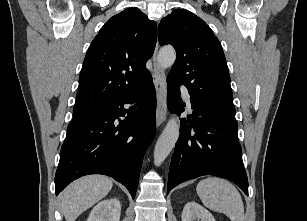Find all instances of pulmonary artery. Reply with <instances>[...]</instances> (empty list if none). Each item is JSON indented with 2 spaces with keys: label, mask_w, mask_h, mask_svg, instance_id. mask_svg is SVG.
Wrapping results in <instances>:
<instances>
[{
  "label": "pulmonary artery",
  "mask_w": 307,
  "mask_h": 221,
  "mask_svg": "<svg viewBox=\"0 0 307 221\" xmlns=\"http://www.w3.org/2000/svg\"><path fill=\"white\" fill-rule=\"evenodd\" d=\"M181 89H182L183 97L185 101L187 102L188 107H191L189 90L185 86H182Z\"/></svg>",
  "instance_id": "pulmonary-artery-1"
}]
</instances>
